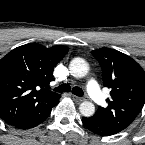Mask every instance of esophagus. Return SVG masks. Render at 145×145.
I'll use <instances>...</instances> for the list:
<instances>
[{
	"instance_id": "esophagus-1",
	"label": "esophagus",
	"mask_w": 145,
	"mask_h": 145,
	"mask_svg": "<svg viewBox=\"0 0 145 145\" xmlns=\"http://www.w3.org/2000/svg\"><path fill=\"white\" fill-rule=\"evenodd\" d=\"M72 98H73V100H74L76 103H81V102H83V101L85 100L84 98L78 97V96H75V95H73Z\"/></svg>"
}]
</instances>
